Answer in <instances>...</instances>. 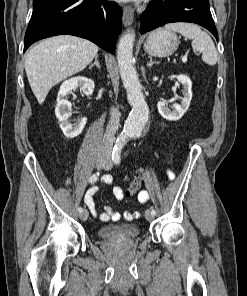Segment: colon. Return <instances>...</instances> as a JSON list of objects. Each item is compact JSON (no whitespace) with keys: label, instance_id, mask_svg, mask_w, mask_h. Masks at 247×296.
<instances>
[{"label":"colon","instance_id":"colon-1","mask_svg":"<svg viewBox=\"0 0 247 296\" xmlns=\"http://www.w3.org/2000/svg\"><path fill=\"white\" fill-rule=\"evenodd\" d=\"M144 170H138L131 182V184L129 185L127 191H126V195L127 196H132L134 195L141 187L142 181L144 179Z\"/></svg>","mask_w":247,"mask_h":296}]
</instances>
